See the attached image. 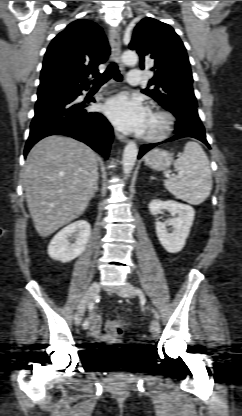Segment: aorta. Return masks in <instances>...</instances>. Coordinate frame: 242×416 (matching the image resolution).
<instances>
[{"instance_id": "1", "label": "aorta", "mask_w": 242, "mask_h": 416, "mask_svg": "<svg viewBox=\"0 0 242 416\" xmlns=\"http://www.w3.org/2000/svg\"><path fill=\"white\" fill-rule=\"evenodd\" d=\"M122 61L126 65H134L138 61V56L134 51H126L122 55ZM138 155V147L134 142H129L123 152L122 166L123 173L127 177L131 173Z\"/></svg>"}]
</instances>
